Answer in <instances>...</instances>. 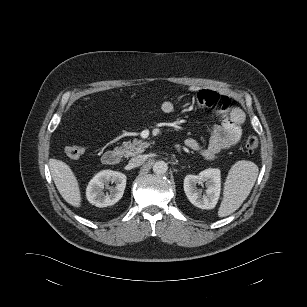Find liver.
Instances as JSON below:
<instances>
[{
  "instance_id": "1",
  "label": "liver",
  "mask_w": 307,
  "mask_h": 307,
  "mask_svg": "<svg viewBox=\"0 0 307 307\" xmlns=\"http://www.w3.org/2000/svg\"><path fill=\"white\" fill-rule=\"evenodd\" d=\"M49 168L60 195L67 203L79 208L81 206L79 184L69 165L61 160L50 159Z\"/></svg>"
}]
</instances>
